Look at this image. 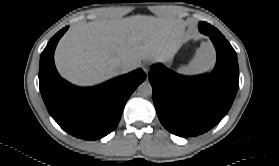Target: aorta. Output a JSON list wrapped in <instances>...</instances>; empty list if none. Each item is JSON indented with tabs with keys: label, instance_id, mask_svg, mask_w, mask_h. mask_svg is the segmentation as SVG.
Returning <instances> with one entry per match:
<instances>
[{
	"label": "aorta",
	"instance_id": "762f6f07",
	"mask_svg": "<svg viewBox=\"0 0 279 166\" xmlns=\"http://www.w3.org/2000/svg\"><path fill=\"white\" fill-rule=\"evenodd\" d=\"M138 94L142 97H148L152 94V86L148 81H144L138 87Z\"/></svg>",
	"mask_w": 279,
	"mask_h": 166
}]
</instances>
